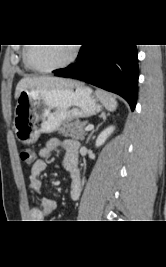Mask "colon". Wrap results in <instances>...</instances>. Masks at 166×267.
<instances>
[{
	"label": "colon",
	"instance_id": "obj_1",
	"mask_svg": "<svg viewBox=\"0 0 166 267\" xmlns=\"http://www.w3.org/2000/svg\"><path fill=\"white\" fill-rule=\"evenodd\" d=\"M20 158L28 165H31L35 161V152L30 147H23L20 150Z\"/></svg>",
	"mask_w": 166,
	"mask_h": 267
}]
</instances>
